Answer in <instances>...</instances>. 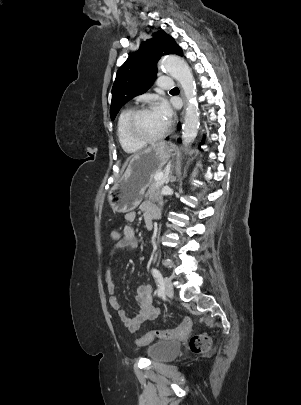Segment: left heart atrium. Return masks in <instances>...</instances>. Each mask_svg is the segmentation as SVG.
I'll return each mask as SVG.
<instances>
[{"instance_id": "left-heart-atrium-1", "label": "left heart atrium", "mask_w": 301, "mask_h": 405, "mask_svg": "<svg viewBox=\"0 0 301 405\" xmlns=\"http://www.w3.org/2000/svg\"><path fill=\"white\" fill-rule=\"evenodd\" d=\"M154 110L163 117L167 123L170 121L172 117V109L169 104L165 100H159L155 106Z\"/></svg>"}]
</instances>
